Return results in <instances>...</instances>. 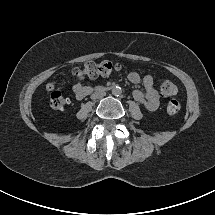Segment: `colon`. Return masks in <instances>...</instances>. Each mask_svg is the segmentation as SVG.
<instances>
[{
	"instance_id": "colon-1",
	"label": "colon",
	"mask_w": 215,
	"mask_h": 215,
	"mask_svg": "<svg viewBox=\"0 0 215 215\" xmlns=\"http://www.w3.org/2000/svg\"><path fill=\"white\" fill-rule=\"evenodd\" d=\"M118 70V65L113 63H100V64H88L83 68L76 70L75 75L79 78L97 77V76H108L113 72ZM48 89L51 91V105L53 108L59 109L65 105V98L62 93L56 88L55 82L51 81L47 85ZM176 90L175 86L168 81H164L161 84V91L164 94H172ZM167 110L171 114H175L180 110V103L171 99L168 102Z\"/></svg>"
}]
</instances>
